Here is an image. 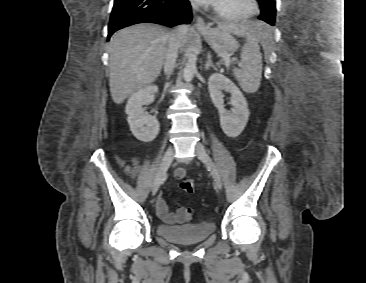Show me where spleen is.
Wrapping results in <instances>:
<instances>
[{
    "mask_svg": "<svg viewBox=\"0 0 366 283\" xmlns=\"http://www.w3.org/2000/svg\"><path fill=\"white\" fill-rule=\"evenodd\" d=\"M258 43L259 39L257 36L249 35L247 37V41L241 52V60L244 63L245 68L233 69L235 78L239 82L240 87L246 93L256 92L261 83L262 54Z\"/></svg>",
    "mask_w": 366,
    "mask_h": 283,
    "instance_id": "1",
    "label": "spleen"
}]
</instances>
